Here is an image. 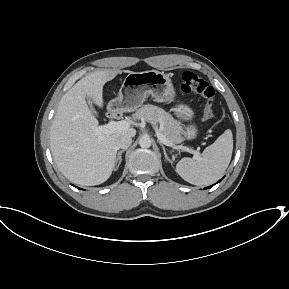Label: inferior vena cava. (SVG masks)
Listing matches in <instances>:
<instances>
[{
    "label": "inferior vena cava",
    "mask_w": 289,
    "mask_h": 289,
    "mask_svg": "<svg viewBox=\"0 0 289 289\" xmlns=\"http://www.w3.org/2000/svg\"><path fill=\"white\" fill-rule=\"evenodd\" d=\"M132 143V137L129 135H122L117 139V148L127 149Z\"/></svg>",
    "instance_id": "obj_1"
}]
</instances>
